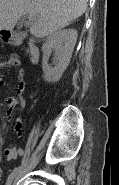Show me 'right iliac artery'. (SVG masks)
<instances>
[{"instance_id": "1", "label": "right iliac artery", "mask_w": 119, "mask_h": 185, "mask_svg": "<svg viewBox=\"0 0 119 185\" xmlns=\"http://www.w3.org/2000/svg\"><path fill=\"white\" fill-rule=\"evenodd\" d=\"M22 168V166L16 167L12 173L8 176L6 185H11V182L13 181V179L15 178V176L18 174V172L20 171V169Z\"/></svg>"}]
</instances>
